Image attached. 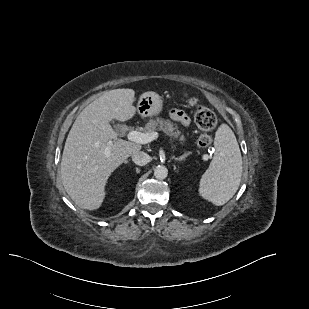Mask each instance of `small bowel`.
<instances>
[{
  "label": "small bowel",
  "mask_w": 309,
  "mask_h": 309,
  "mask_svg": "<svg viewBox=\"0 0 309 309\" xmlns=\"http://www.w3.org/2000/svg\"><path fill=\"white\" fill-rule=\"evenodd\" d=\"M171 117L184 127L188 126L190 123L189 117L183 111L178 109H174L171 111Z\"/></svg>",
  "instance_id": "1"
}]
</instances>
